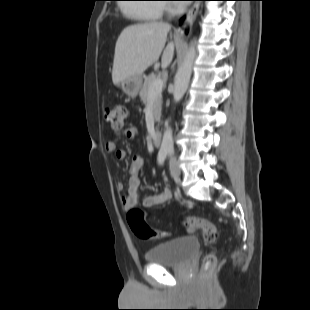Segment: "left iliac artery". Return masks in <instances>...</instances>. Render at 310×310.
<instances>
[{
  "label": "left iliac artery",
  "instance_id": "obj_1",
  "mask_svg": "<svg viewBox=\"0 0 310 310\" xmlns=\"http://www.w3.org/2000/svg\"><path fill=\"white\" fill-rule=\"evenodd\" d=\"M168 152H169L170 154H173V148H169V149H168Z\"/></svg>",
  "mask_w": 310,
  "mask_h": 310
}]
</instances>
